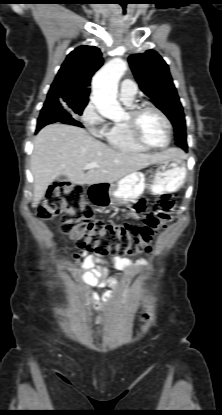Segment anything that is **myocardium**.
I'll return each mask as SVG.
<instances>
[{
    "mask_svg": "<svg viewBox=\"0 0 222 415\" xmlns=\"http://www.w3.org/2000/svg\"><path fill=\"white\" fill-rule=\"evenodd\" d=\"M152 110L156 112L165 122L167 127V140L163 145L156 146L149 144L144 140V138L141 135L140 129H139V119L141 115L147 111ZM125 125L127 126L131 136L133 139L141 146L149 149V150H161L167 148L171 141H172V135H173V127L172 123L169 119V117L164 113L163 110L158 108L157 106L151 104V103H141L138 105H135L132 107V109L129 111L128 116L125 120Z\"/></svg>",
    "mask_w": 222,
    "mask_h": 415,
    "instance_id": "1",
    "label": "myocardium"
}]
</instances>
